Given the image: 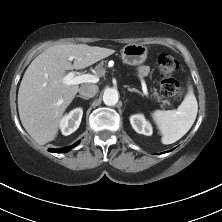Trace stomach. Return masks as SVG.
<instances>
[{
  "mask_svg": "<svg viewBox=\"0 0 222 222\" xmlns=\"http://www.w3.org/2000/svg\"><path fill=\"white\" fill-rule=\"evenodd\" d=\"M148 54V48L141 43L125 45L121 50V57L125 64L136 66L142 64Z\"/></svg>",
  "mask_w": 222,
  "mask_h": 222,
  "instance_id": "1",
  "label": "stomach"
}]
</instances>
